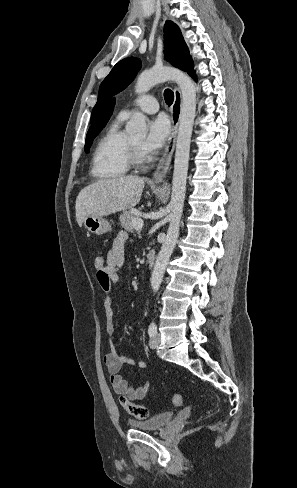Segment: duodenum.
<instances>
[{
	"label": "duodenum",
	"mask_w": 297,
	"mask_h": 488,
	"mask_svg": "<svg viewBox=\"0 0 297 488\" xmlns=\"http://www.w3.org/2000/svg\"><path fill=\"white\" fill-rule=\"evenodd\" d=\"M155 260V252L152 249H149L146 255V261L148 264H152Z\"/></svg>",
	"instance_id": "obj_1"
}]
</instances>
